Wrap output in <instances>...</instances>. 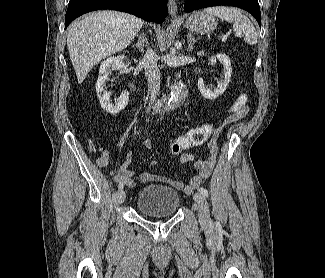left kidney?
I'll return each mask as SVG.
<instances>
[{"instance_id": "1", "label": "left kidney", "mask_w": 325, "mask_h": 278, "mask_svg": "<svg viewBox=\"0 0 325 278\" xmlns=\"http://www.w3.org/2000/svg\"><path fill=\"white\" fill-rule=\"evenodd\" d=\"M217 59L220 63L223 64L224 67V77L223 80L218 84L217 88L214 90L205 86L203 79L198 80V89L203 97L206 99H216L219 95L223 94L230 82L232 68H231V61L229 57L225 54H218Z\"/></svg>"}]
</instances>
